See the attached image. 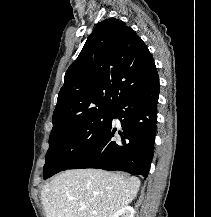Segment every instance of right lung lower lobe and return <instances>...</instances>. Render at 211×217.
<instances>
[{
    "mask_svg": "<svg viewBox=\"0 0 211 217\" xmlns=\"http://www.w3.org/2000/svg\"><path fill=\"white\" fill-rule=\"evenodd\" d=\"M159 95L158 74L135 87L113 109L114 121L101 140L68 169L120 170L147 177L153 157Z\"/></svg>",
    "mask_w": 211,
    "mask_h": 217,
    "instance_id": "98d812e1",
    "label": "right lung lower lobe"
}]
</instances>
